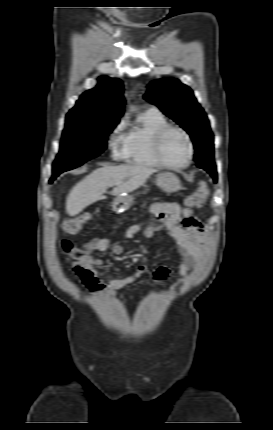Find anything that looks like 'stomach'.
<instances>
[{
  "label": "stomach",
  "mask_w": 273,
  "mask_h": 430,
  "mask_svg": "<svg viewBox=\"0 0 273 430\" xmlns=\"http://www.w3.org/2000/svg\"><path fill=\"white\" fill-rule=\"evenodd\" d=\"M156 184L166 193H173L181 190L182 185L178 177L171 172H163L157 175ZM133 197L130 195H120L113 203L114 210L121 211L130 208Z\"/></svg>",
  "instance_id": "1"
}]
</instances>
